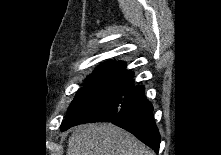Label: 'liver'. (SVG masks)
Instances as JSON below:
<instances>
[{
  "label": "liver",
  "mask_w": 221,
  "mask_h": 155,
  "mask_svg": "<svg viewBox=\"0 0 221 155\" xmlns=\"http://www.w3.org/2000/svg\"><path fill=\"white\" fill-rule=\"evenodd\" d=\"M67 155H154L129 132L111 124L78 126L68 141Z\"/></svg>",
  "instance_id": "1"
}]
</instances>
